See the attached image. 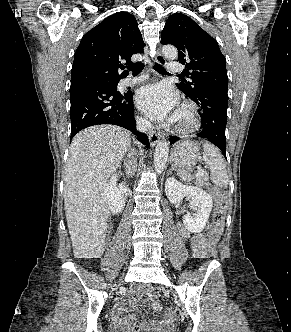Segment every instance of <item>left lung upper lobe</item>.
<instances>
[{"instance_id":"obj_1","label":"left lung upper lobe","mask_w":291,"mask_h":332,"mask_svg":"<svg viewBox=\"0 0 291 332\" xmlns=\"http://www.w3.org/2000/svg\"><path fill=\"white\" fill-rule=\"evenodd\" d=\"M161 43L178 49L179 62L185 65V75L192 81L183 80L176 86L188 97L206 91H228L226 59L217 41L190 17L181 13L170 15L161 33Z\"/></svg>"}]
</instances>
